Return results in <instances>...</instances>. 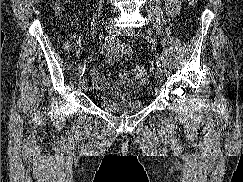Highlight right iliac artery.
Here are the masks:
<instances>
[{
	"mask_svg": "<svg viewBox=\"0 0 243 182\" xmlns=\"http://www.w3.org/2000/svg\"><path fill=\"white\" fill-rule=\"evenodd\" d=\"M116 35L115 34H109L105 37V40H104V43L103 45H105L106 43H109L111 41H113L115 39ZM84 71H85V64L82 65L80 68H79V73H78V76L81 78L84 74Z\"/></svg>",
	"mask_w": 243,
	"mask_h": 182,
	"instance_id": "1",
	"label": "right iliac artery"
}]
</instances>
